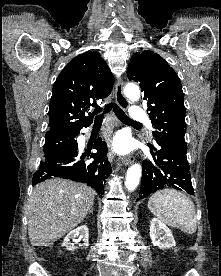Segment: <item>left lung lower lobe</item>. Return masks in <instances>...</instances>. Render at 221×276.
<instances>
[{"label": "left lung lower lobe", "instance_id": "left-lung-lower-lobe-1", "mask_svg": "<svg viewBox=\"0 0 221 276\" xmlns=\"http://www.w3.org/2000/svg\"><path fill=\"white\" fill-rule=\"evenodd\" d=\"M150 147L153 160L142 163L138 200L168 186L193 195L190 167L186 157L187 149L163 140L156 141V148ZM153 149L156 151L155 155Z\"/></svg>", "mask_w": 221, "mask_h": 276}]
</instances>
